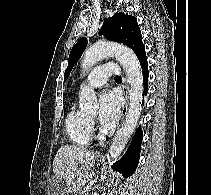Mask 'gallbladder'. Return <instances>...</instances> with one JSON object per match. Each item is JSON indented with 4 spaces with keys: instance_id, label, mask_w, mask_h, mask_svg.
<instances>
[{
    "instance_id": "bac80fb5",
    "label": "gallbladder",
    "mask_w": 211,
    "mask_h": 195,
    "mask_svg": "<svg viewBox=\"0 0 211 195\" xmlns=\"http://www.w3.org/2000/svg\"><path fill=\"white\" fill-rule=\"evenodd\" d=\"M54 181H56V180L54 179ZM52 191L57 192V187L55 185H52Z\"/></svg>"
}]
</instances>
